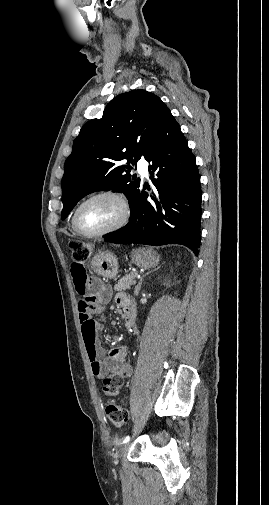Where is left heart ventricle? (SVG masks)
I'll return each mask as SVG.
<instances>
[{"mask_svg":"<svg viewBox=\"0 0 269 505\" xmlns=\"http://www.w3.org/2000/svg\"><path fill=\"white\" fill-rule=\"evenodd\" d=\"M122 215L120 203L110 197H101L88 202L79 213V223L90 232L104 230L115 224Z\"/></svg>","mask_w":269,"mask_h":505,"instance_id":"left-heart-ventricle-1","label":"left heart ventricle"}]
</instances>
